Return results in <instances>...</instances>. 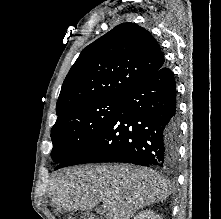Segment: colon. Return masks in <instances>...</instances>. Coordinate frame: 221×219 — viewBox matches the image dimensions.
Masks as SVG:
<instances>
[{
    "label": "colon",
    "mask_w": 221,
    "mask_h": 219,
    "mask_svg": "<svg viewBox=\"0 0 221 219\" xmlns=\"http://www.w3.org/2000/svg\"><path fill=\"white\" fill-rule=\"evenodd\" d=\"M69 219H97L93 215L82 212V211H77L71 214Z\"/></svg>",
    "instance_id": "obj_1"
}]
</instances>
